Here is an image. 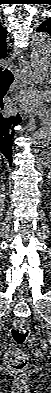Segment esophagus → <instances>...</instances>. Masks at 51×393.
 Masks as SVG:
<instances>
[{
	"label": "esophagus",
	"mask_w": 51,
	"mask_h": 393,
	"mask_svg": "<svg viewBox=\"0 0 51 393\" xmlns=\"http://www.w3.org/2000/svg\"><path fill=\"white\" fill-rule=\"evenodd\" d=\"M20 78L25 90H31L35 86V79L33 76L32 68L29 63L23 59L20 62ZM39 121L41 124H50L51 123V115L49 110L46 108L39 111Z\"/></svg>",
	"instance_id": "34e87169"
}]
</instances>
